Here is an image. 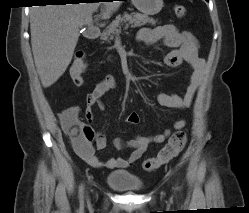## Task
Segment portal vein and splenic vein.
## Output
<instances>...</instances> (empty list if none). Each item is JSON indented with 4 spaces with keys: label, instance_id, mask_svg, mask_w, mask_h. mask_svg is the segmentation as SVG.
I'll return each instance as SVG.
<instances>
[{
    "label": "portal vein and splenic vein",
    "instance_id": "18ae733b",
    "mask_svg": "<svg viewBox=\"0 0 249 213\" xmlns=\"http://www.w3.org/2000/svg\"><path fill=\"white\" fill-rule=\"evenodd\" d=\"M84 25H93V19L91 16L85 18Z\"/></svg>",
    "mask_w": 249,
    "mask_h": 213
}]
</instances>
